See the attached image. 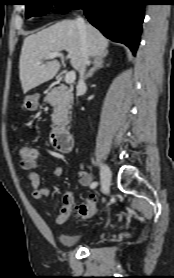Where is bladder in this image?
<instances>
[{"label": "bladder", "instance_id": "31cf9c89", "mask_svg": "<svg viewBox=\"0 0 174 278\" xmlns=\"http://www.w3.org/2000/svg\"><path fill=\"white\" fill-rule=\"evenodd\" d=\"M85 238L83 235L60 234L58 239L63 246L71 247Z\"/></svg>", "mask_w": 174, "mask_h": 278}]
</instances>
